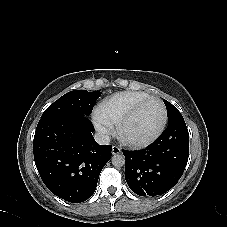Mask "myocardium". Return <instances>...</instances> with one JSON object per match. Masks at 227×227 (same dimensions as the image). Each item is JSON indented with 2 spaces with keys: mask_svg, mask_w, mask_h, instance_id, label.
Listing matches in <instances>:
<instances>
[{
  "mask_svg": "<svg viewBox=\"0 0 227 227\" xmlns=\"http://www.w3.org/2000/svg\"><path fill=\"white\" fill-rule=\"evenodd\" d=\"M150 101H157L162 106V109H163V119H162V122H161L160 126L147 139H144V140H132V139L127 138L125 136V134H124V131H125L126 126L137 116V114L140 111V109L145 104H147ZM167 121H168V111H167V107H166V104L164 103V101L162 99L158 98V97L150 96V97L144 99L143 101L139 102L129 113H127L119 121V123L117 125V135H118L119 139L124 144H126V145H128L130 147H134V148L147 147L150 144L154 143L160 137V135L163 133V131L166 128Z\"/></svg>",
  "mask_w": 227,
  "mask_h": 227,
  "instance_id": "myocardium-1",
  "label": "myocardium"
}]
</instances>
